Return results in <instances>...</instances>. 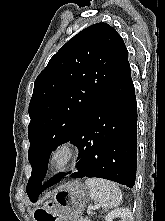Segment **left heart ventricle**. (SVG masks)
<instances>
[{
	"label": "left heart ventricle",
	"mask_w": 165,
	"mask_h": 221,
	"mask_svg": "<svg viewBox=\"0 0 165 221\" xmlns=\"http://www.w3.org/2000/svg\"><path fill=\"white\" fill-rule=\"evenodd\" d=\"M62 155H59L58 157H57V161H61L62 160Z\"/></svg>",
	"instance_id": "left-heart-ventricle-1"
}]
</instances>
